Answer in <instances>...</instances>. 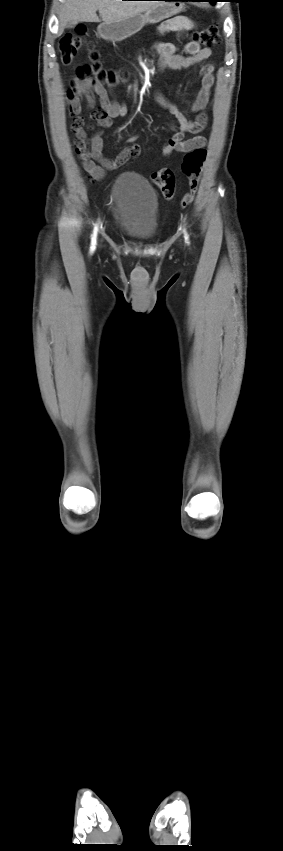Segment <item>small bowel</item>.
Masks as SVG:
<instances>
[{
    "label": "small bowel",
    "instance_id": "1",
    "mask_svg": "<svg viewBox=\"0 0 283 851\" xmlns=\"http://www.w3.org/2000/svg\"><path fill=\"white\" fill-rule=\"evenodd\" d=\"M193 27L194 23L191 20L178 17L163 22L159 26V32L185 31ZM155 49L161 56L160 68L162 70L165 68L173 70L189 68L203 62L212 55V51L209 48H201L194 41H190L184 45L183 51L186 56L181 55L178 52V48L172 43H156ZM213 69L214 66L212 64L202 68L201 88L190 107L191 112L197 114L194 120L189 119L183 112L162 97L156 96L157 102L167 109L176 120L172 135L163 143L162 157H167L174 151L185 153L205 146V137L198 134L205 128L207 123L205 110L209 104L211 89L214 83ZM85 74V66H80L77 69V76L70 82L66 91V97L69 105V114L73 117L71 129L76 138L75 147L78 158L81 161L83 169L92 178L100 180L104 178L107 170H115L136 158L140 154L141 149L135 143L137 136H131L127 140L128 146L122 149L115 158L111 159L103 155V139L100 133L91 137L87 136L84 128V118L82 116V100H85L87 103V108L92 109L95 106V96L99 98L101 109L94 111L92 118L100 126L105 128L112 125V119L125 116L127 107L112 102L109 99L106 88L94 78L88 77ZM187 133L195 134V136L184 139Z\"/></svg>",
    "mask_w": 283,
    "mask_h": 851
}]
</instances>
